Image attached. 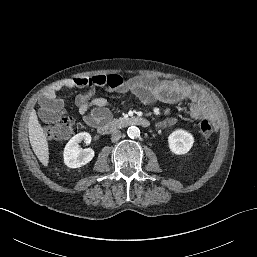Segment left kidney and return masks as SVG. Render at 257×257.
I'll list each match as a JSON object with an SVG mask.
<instances>
[{"label":"left kidney","mask_w":257,"mask_h":257,"mask_svg":"<svg viewBox=\"0 0 257 257\" xmlns=\"http://www.w3.org/2000/svg\"><path fill=\"white\" fill-rule=\"evenodd\" d=\"M194 143L191 133L178 129L173 131L168 137L169 149L176 155H183L189 152Z\"/></svg>","instance_id":"left-kidney-1"}]
</instances>
